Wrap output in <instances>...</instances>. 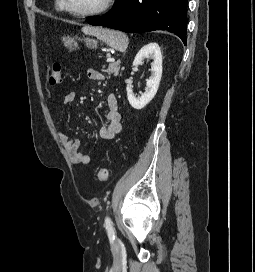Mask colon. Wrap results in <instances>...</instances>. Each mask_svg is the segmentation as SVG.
<instances>
[{"label": "colon", "instance_id": "1", "mask_svg": "<svg viewBox=\"0 0 255 272\" xmlns=\"http://www.w3.org/2000/svg\"><path fill=\"white\" fill-rule=\"evenodd\" d=\"M62 83V66L60 63H53L49 73V84L59 85ZM97 179L100 182H105L108 179V171L105 168H100L97 172Z\"/></svg>", "mask_w": 255, "mask_h": 272}]
</instances>
